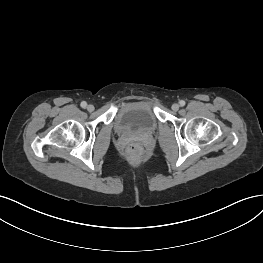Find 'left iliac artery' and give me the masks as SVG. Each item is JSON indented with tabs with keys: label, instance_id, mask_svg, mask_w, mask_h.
I'll return each mask as SVG.
<instances>
[{
	"label": "left iliac artery",
	"instance_id": "44dca946",
	"mask_svg": "<svg viewBox=\"0 0 263 263\" xmlns=\"http://www.w3.org/2000/svg\"><path fill=\"white\" fill-rule=\"evenodd\" d=\"M179 104H180V106H184L185 105V101L184 100H180Z\"/></svg>",
	"mask_w": 263,
	"mask_h": 263
}]
</instances>
